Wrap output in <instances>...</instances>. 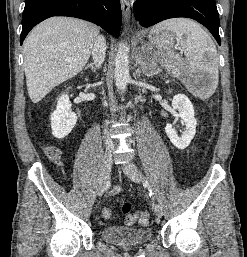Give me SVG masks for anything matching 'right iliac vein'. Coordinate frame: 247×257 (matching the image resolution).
Returning <instances> with one entry per match:
<instances>
[{"label":"right iliac vein","instance_id":"obj_1","mask_svg":"<svg viewBox=\"0 0 247 257\" xmlns=\"http://www.w3.org/2000/svg\"><path fill=\"white\" fill-rule=\"evenodd\" d=\"M111 166H112V155H111V152L108 151L105 153V156L103 159V166H102V171H101V176H100V181H99V186L97 191V194L99 197H101L104 193L106 182L111 171Z\"/></svg>","mask_w":247,"mask_h":257}]
</instances>
